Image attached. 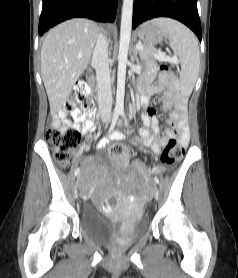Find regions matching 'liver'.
<instances>
[{
  "label": "liver",
  "instance_id": "obj_1",
  "mask_svg": "<svg viewBox=\"0 0 238 278\" xmlns=\"http://www.w3.org/2000/svg\"><path fill=\"white\" fill-rule=\"evenodd\" d=\"M98 35L97 23L81 18L65 21L46 34L41 48V76L51 114L65 104L89 65Z\"/></svg>",
  "mask_w": 238,
  "mask_h": 278
}]
</instances>
